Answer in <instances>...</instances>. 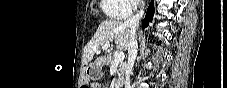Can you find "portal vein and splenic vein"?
<instances>
[{
    "instance_id": "1",
    "label": "portal vein and splenic vein",
    "mask_w": 227,
    "mask_h": 88,
    "mask_svg": "<svg viewBox=\"0 0 227 88\" xmlns=\"http://www.w3.org/2000/svg\"><path fill=\"white\" fill-rule=\"evenodd\" d=\"M109 43H106L104 47H108ZM124 60V53L122 51H115L114 53V65Z\"/></svg>"
}]
</instances>
